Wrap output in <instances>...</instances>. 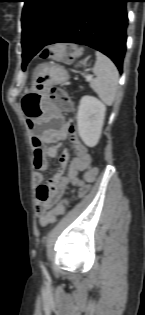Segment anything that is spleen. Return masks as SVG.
Wrapping results in <instances>:
<instances>
[{"label": "spleen", "mask_w": 145, "mask_h": 315, "mask_svg": "<svg viewBox=\"0 0 145 315\" xmlns=\"http://www.w3.org/2000/svg\"><path fill=\"white\" fill-rule=\"evenodd\" d=\"M93 72L96 78L90 81L91 88L105 104L112 105L118 91L119 73L116 66L108 57L96 52Z\"/></svg>", "instance_id": "3e777b00"}]
</instances>
